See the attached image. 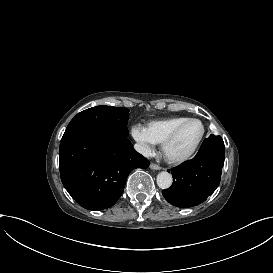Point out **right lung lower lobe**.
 Masks as SVG:
<instances>
[{
    "label": "right lung lower lobe",
    "instance_id": "98d812e1",
    "mask_svg": "<svg viewBox=\"0 0 273 273\" xmlns=\"http://www.w3.org/2000/svg\"><path fill=\"white\" fill-rule=\"evenodd\" d=\"M149 165L127 137L85 129L64 133L60 142L62 183L85 209L113 206L123 193L129 173Z\"/></svg>",
    "mask_w": 273,
    "mask_h": 273
}]
</instances>
